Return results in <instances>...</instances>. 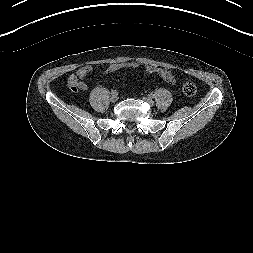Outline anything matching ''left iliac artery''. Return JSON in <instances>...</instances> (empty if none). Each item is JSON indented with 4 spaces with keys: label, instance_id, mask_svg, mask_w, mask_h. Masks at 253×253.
<instances>
[{
    "label": "left iliac artery",
    "instance_id": "44dca946",
    "mask_svg": "<svg viewBox=\"0 0 253 253\" xmlns=\"http://www.w3.org/2000/svg\"><path fill=\"white\" fill-rule=\"evenodd\" d=\"M149 97H150V98H153V97H154V94H153V93L149 94Z\"/></svg>",
    "mask_w": 253,
    "mask_h": 253
}]
</instances>
